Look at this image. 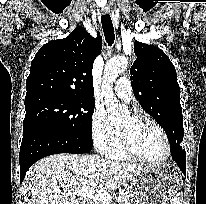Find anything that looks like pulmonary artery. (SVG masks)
<instances>
[{
  "label": "pulmonary artery",
  "mask_w": 206,
  "mask_h": 204,
  "mask_svg": "<svg viewBox=\"0 0 206 204\" xmlns=\"http://www.w3.org/2000/svg\"><path fill=\"white\" fill-rule=\"evenodd\" d=\"M116 95L126 102H129L133 97V91L130 81L126 77H121L117 80L114 86Z\"/></svg>",
  "instance_id": "obj_1"
}]
</instances>
